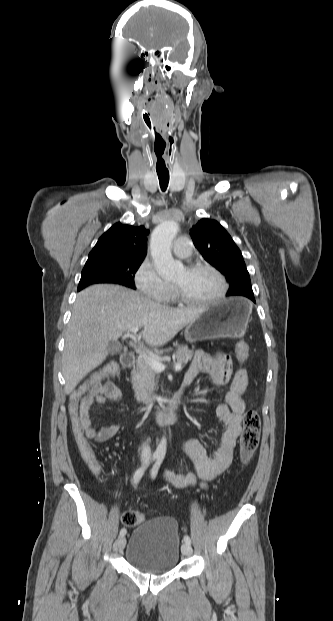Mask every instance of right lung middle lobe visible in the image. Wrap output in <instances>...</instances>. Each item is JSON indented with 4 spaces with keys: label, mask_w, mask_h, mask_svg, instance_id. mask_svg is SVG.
Here are the masks:
<instances>
[{
    "label": "right lung middle lobe",
    "mask_w": 333,
    "mask_h": 621,
    "mask_svg": "<svg viewBox=\"0 0 333 621\" xmlns=\"http://www.w3.org/2000/svg\"><path fill=\"white\" fill-rule=\"evenodd\" d=\"M142 260L105 259L87 261L81 274L78 291L91 284L115 283L135 289L134 275Z\"/></svg>",
    "instance_id": "right-lung-middle-lobe-1"
}]
</instances>
